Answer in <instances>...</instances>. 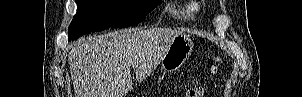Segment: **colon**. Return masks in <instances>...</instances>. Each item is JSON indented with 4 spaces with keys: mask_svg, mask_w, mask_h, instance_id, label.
Returning a JSON list of instances; mask_svg holds the SVG:
<instances>
[{
    "mask_svg": "<svg viewBox=\"0 0 302 97\" xmlns=\"http://www.w3.org/2000/svg\"><path fill=\"white\" fill-rule=\"evenodd\" d=\"M218 66H219V59L216 58L214 61L213 68H212L213 73L217 72ZM204 92H205V90L203 87H196V88L188 90L186 93V97H203Z\"/></svg>",
    "mask_w": 302,
    "mask_h": 97,
    "instance_id": "obj_1",
    "label": "colon"
}]
</instances>
